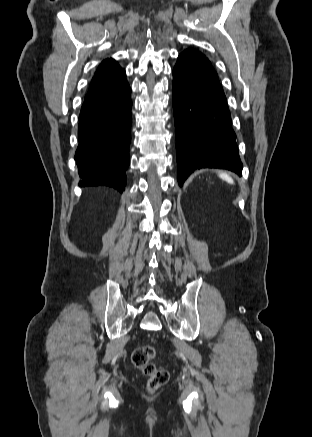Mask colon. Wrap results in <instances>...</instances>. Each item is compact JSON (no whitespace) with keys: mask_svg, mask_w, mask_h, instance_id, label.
Instances as JSON below:
<instances>
[{"mask_svg":"<svg viewBox=\"0 0 312 437\" xmlns=\"http://www.w3.org/2000/svg\"><path fill=\"white\" fill-rule=\"evenodd\" d=\"M156 355L154 347L144 345L136 348L132 354V362L147 377V389L155 392L169 380V372L152 362Z\"/></svg>","mask_w":312,"mask_h":437,"instance_id":"colon-1","label":"colon"}]
</instances>
